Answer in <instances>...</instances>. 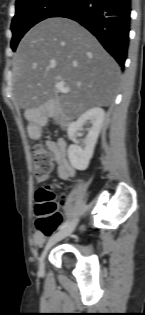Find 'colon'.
I'll return each instance as SVG.
<instances>
[{
	"label": "colon",
	"mask_w": 145,
	"mask_h": 315,
	"mask_svg": "<svg viewBox=\"0 0 145 315\" xmlns=\"http://www.w3.org/2000/svg\"><path fill=\"white\" fill-rule=\"evenodd\" d=\"M33 164L36 176L47 175L52 169V154L40 144L33 146ZM36 228L45 236L51 235L63 218L57 211L54 194L49 186L36 192Z\"/></svg>",
	"instance_id": "1"
}]
</instances>
